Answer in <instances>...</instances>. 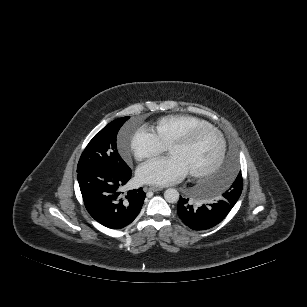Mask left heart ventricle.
Instances as JSON below:
<instances>
[{"label": "left heart ventricle", "instance_id": "b2bd125f", "mask_svg": "<svg viewBox=\"0 0 307 307\" xmlns=\"http://www.w3.org/2000/svg\"><path fill=\"white\" fill-rule=\"evenodd\" d=\"M220 149L219 137L212 131L201 133L187 146L173 147L169 152L181 160L189 172L211 167Z\"/></svg>", "mask_w": 307, "mask_h": 307}]
</instances>
